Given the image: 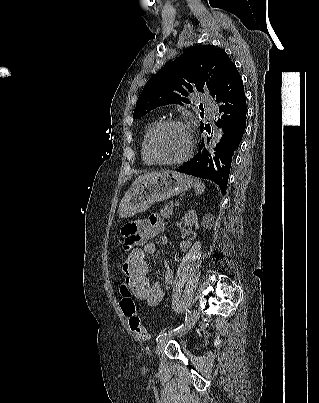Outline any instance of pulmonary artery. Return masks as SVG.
<instances>
[{
    "label": "pulmonary artery",
    "instance_id": "pulmonary-artery-1",
    "mask_svg": "<svg viewBox=\"0 0 319 403\" xmlns=\"http://www.w3.org/2000/svg\"><path fill=\"white\" fill-rule=\"evenodd\" d=\"M204 104H205L206 107L213 106L212 102L209 101V99L207 97L204 98Z\"/></svg>",
    "mask_w": 319,
    "mask_h": 403
}]
</instances>
